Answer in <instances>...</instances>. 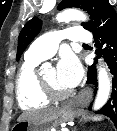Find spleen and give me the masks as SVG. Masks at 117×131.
Returning a JSON list of instances; mask_svg holds the SVG:
<instances>
[{
    "label": "spleen",
    "instance_id": "spleen-1",
    "mask_svg": "<svg viewBox=\"0 0 117 131\" xmlns=\"http://www.w3.org/2000/svg\"><path fill=\"white\" fill-rule=\"evenodd\" d=\"M93 120L94 121H100V120H102V118L101 117H94Z\"/></svg>",
    "mask_w": 117,
    "mask_h": 131
}]
</instances>
